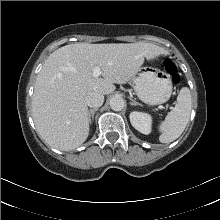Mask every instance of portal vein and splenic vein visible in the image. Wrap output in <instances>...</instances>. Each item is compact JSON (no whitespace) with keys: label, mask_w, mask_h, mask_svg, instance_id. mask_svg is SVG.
<instances>
[{"label":"portal vein and splenic vein","mask_w":220,"mask_h":220,"mask_svg":"<svg viewBox=\"0 0 220 220\" xmlns=\"http://www.w3.org/2000/svg\"><path fill=\"white\" fill-rule=\"evenodd\" d=\"M101 74H102V71L99 67H95L93 69V73H92L93 77H99ZM160 108H162V106H160Z\"/></svg>","instance_id":"18ae733b"}]
</instances>
